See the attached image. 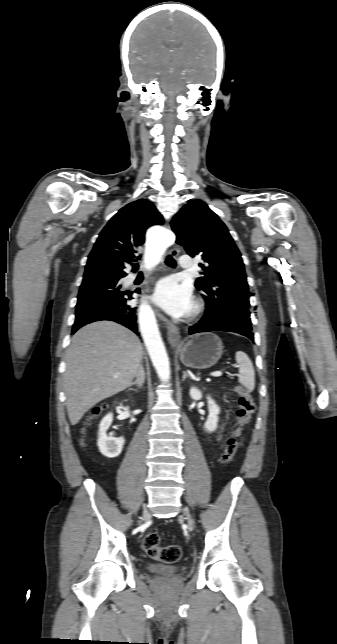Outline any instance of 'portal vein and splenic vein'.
Masks as SVG:
<instances>
[{
	"label": "portal vein and splenic vein",
	"instance_id": "obj_1",
	"mask_svg": "<svg viewBox=\"0 0 337 644\" xmlns=\"http://www.w3.org/2000/svg\"><path fill=\"white\" fill-rule=\"evenodd\" d=\"M222 374L223 373L221 371H214V372L210 373V376L220 377V376H222Z\"/></svg>",
	"mask_w": 337,
	"mask_h": 644
}]
</instances>
